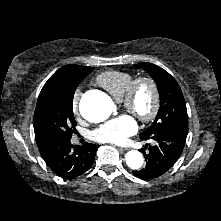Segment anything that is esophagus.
Segmentation results:
<instances>
[{"label": "esophagus", "mask_w": 221, "mask_h": 221, "mask_svg": "<svg viewBox=\"0 0 221 221\" xmlns=\"http://www.w3.org/2000/svg\"><path fill=\"white\" fill-rule=\"evenodd\" d=\"M118 149L122 152L126 151L127 149L126 148H123V147H118Z\"/></svg>", "instance_id": "1"}]
</instances>
